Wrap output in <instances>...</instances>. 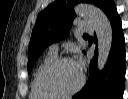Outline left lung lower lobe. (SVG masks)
I'll return each instance as SVG.
<instances>
[{
    "mask_svg": "<svg viewBox=\"0 0 128 99\" xmlns=\"http://www.w3.org/2000/svg\"><path fill=\"white\" fill-rule=\"evenodd\" d=\"M111 22L112 48L106 66L97 71L98 53L90 62V74L87 84L73 98L77 99H123L125 79V47L121 19L114 0H104L101 7ZM97 43V42H96Z\"/></svg>",
    "mask_w": 128,
    "mask_h": 99,
    "instance_id": "left-lung-lower-lobe-1",
    "label": "left lung lower lobe"
}]
</instances>
